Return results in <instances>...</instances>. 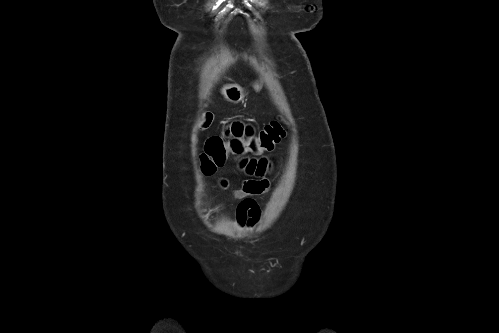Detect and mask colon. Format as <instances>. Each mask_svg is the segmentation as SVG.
<instances>
[{
  "label": "colon",
  "instance_id": "colon-1",
  "mask_svg": "<svg viewBox=\"0 0 499 333\" xmlns=\"http://www.w3.org/2000/svg\"><path fill=\"white\" fill-rule=\"evenodd\" d=\"M211 117L208 115L204 122L207 126ZM284 129L278 120H273L262 130L250 138L231 136L223 138L214 136L207 140L202 152L201 166L205 173H213L222 166L229 157H242L247 153L260 154L270 151L283 137Z\"/></svg>",
  "mask_w": 499,
  "mask_h": 333
}]
</instances>
